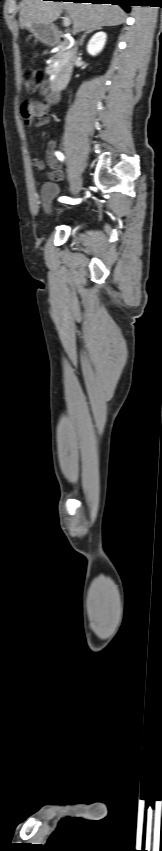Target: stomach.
Returning <instances> with one entry per match:
<instances>
[{
    "label": "stomach",
    "instance_id": "1",
    "mask_svg": "<svg viewBox=\"0 0 162 851\" xmlns=\"http://www.w3.org/2000/svg\"><path fill=\"white\" fill-rule=\"evenodd\" d=\"M25 28L30 31L36 39L45 44H53L57 40L56 30L52 24L29 22Z\"/></svg>",
    "mask_w": 162,
    "mask_h": 851
}]
</instances>
